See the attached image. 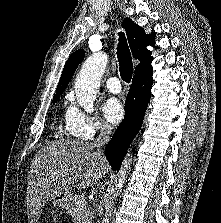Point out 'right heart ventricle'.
<instances>
[{
  "label": "right heart ventricle",
  "instance_id": "right-heart-ventricle-1",
  "mask_svg": "<svg viewBox=\"0 0 221 223\" xmlns=\"http://www.w3.org/2000/svg\"><path fill=\"white\" fill-rule=\"evenodd\" d=\"M56 137H63L64 135L68 136L71 135L68 129L67 120L66 124L63 125L61 122H59L56 126Z\"/></svg>",
  "mask_w": 221,
  "mask_h": 223
}]
</instances>
